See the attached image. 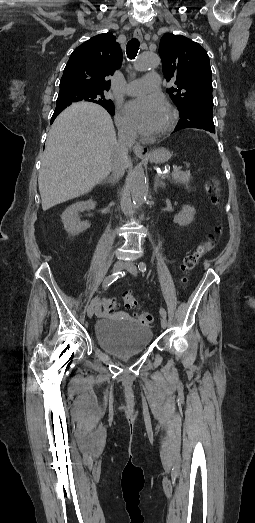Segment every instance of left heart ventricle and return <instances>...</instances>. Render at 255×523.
Instances as JSON below:
<instances>
[{"instance_id":"obj_1","label":"left heart ventricle","mask_w":255,"mask_h":523,"mask_svg":"<svg viewBox=\"0 0 255 523\" xmlns=\"http://www.w3.org/2000/svg\"><path fill=\"white\" fill-rule=\"evenodd\" d=\"M171 118L172 113L170 109L164 104L156 117L153 130L148 133V137H157L163 134L169 127Z\"/></svg>"}]
</instances>
